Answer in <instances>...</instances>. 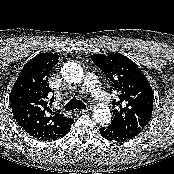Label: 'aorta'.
I'll use <instances>...</instances> for the list:
<instances>
[{
	"label": "aorta",
	"instance_id": "1",
	"mask_svg": "<svg viewBox=\"0 0 174 174\" xmlns=\"http://www.w3.org/2000/svg\"><path fill=\"white\" fill-rule=\"evenodd\" d=\"M62 77L70 83H79L84 77L82 67L76 62H67L61 69ZM93 118L100 125H108L111 121L110 109L105 105H99L94 109Z\"/></svg>",
	"mask_w": 174,
	"mask_h": 174
}]
</instances>
